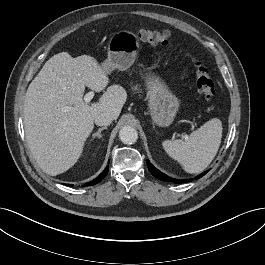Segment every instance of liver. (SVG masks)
<instances>
[{
    "instance_id": "obj_1",
    "label": "liver",
    "mask_w": 265,
    "mask_h": 265,
    "mask_svg": "<svg viewBox=\"0 0 265 265\" xmlns=\"http://www.w3.org/2000/svg\"><path fill=\"white\" fill-rule=\"evenodd\" d=\"M107 73L89 55L73 58L67 52L51 57L30 83L24 101L28 146L40 168L56 176L70 169L94 129V118L109 112L117 119L127 93L112 85L92 104L83 101L85 87L104 90ZM66 107H72L65 111Z\"/></svg>"
}]
</instances>
